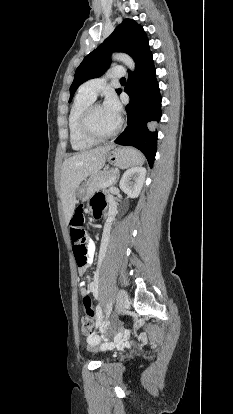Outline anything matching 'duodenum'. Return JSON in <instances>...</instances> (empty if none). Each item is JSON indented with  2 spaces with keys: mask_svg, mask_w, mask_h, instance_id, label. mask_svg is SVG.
<instances>
[{
  "mask_svg": "<svg viewBox=\"0 0 233 414\" xmlns=\"http://www.w3.org/2000/svg\"><path fill=\"white\" fill-rule=\"evenodd\" d=\"M95 215L98 217V216L100 215V213H99V212H97Z\"/></svg>",
  "mask_w": 233,
  "mask_h": 414,
  "instance_id": "obj_1",
  "label": "duodenum"
}]
</instances>
